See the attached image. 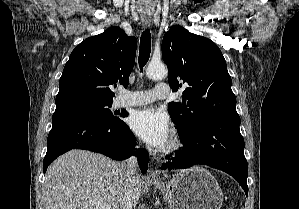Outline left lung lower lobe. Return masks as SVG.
I'll return each mask as SVG.
<instances>
[{"label": "left lung lower lobe", "instance_id": "1", "mask_svg": "<svg viewBox=\"0 0 299 209\" xmlns=\"http://www.w3.org/2000/svg\"><path fill=\"white\" fill-rule=\"evenodd\" d=\"M237 111L212 115L200 126L180 136L184 148L175 152L171 163L162 169H182L208 165L233 176L248 194V166L244 156V140L239 129Z\"/></svg>", "mask_w": 299, "mask_h": 209}]
</instances>
